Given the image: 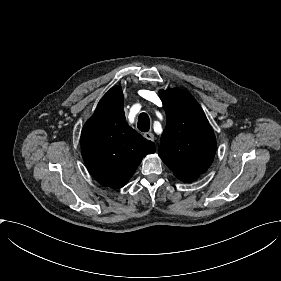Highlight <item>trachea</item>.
Wrapping results in <instances>:
<instances>
[{"instance_id":"1","label":"trachea","mask_w":281,"mask_h":281,"mask_svg":"<svg viewBox=\"0 0 281 281\" xmlns=\"http://www.w3.org/2000/svg\"><path fill=\"white\" fill-rule=\"evenodd\" d=\"M137 127L142 132H147L150 129V119L146 113H141L138 118Z\"/></svg>"}]
</instances>
